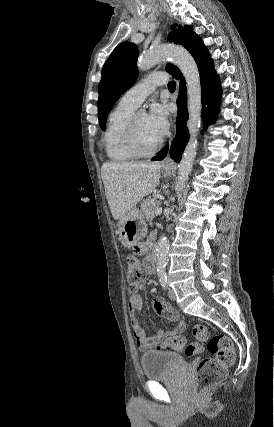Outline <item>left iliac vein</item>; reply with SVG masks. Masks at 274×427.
Returning <instances> with one entry per match:
<instances>
[{
  "label": "left iliac vein",
  "instance_id": "1",
  "mask_svg": "<svg viewBox=\"0 0 274 427\" xmlns=\"http://www.w3.org/2000/svg\"><path fill=\"white\" fill-rule=\"evenodd\" d=\"M168 294H169L170 300L175 301L177 299L173 289H169Z\"/></svg>",
  "mask_w": 274,
  "mask_h": 427
}]
</instances>
